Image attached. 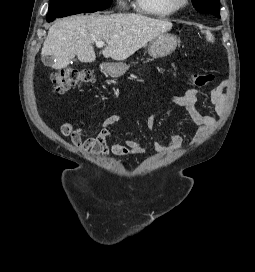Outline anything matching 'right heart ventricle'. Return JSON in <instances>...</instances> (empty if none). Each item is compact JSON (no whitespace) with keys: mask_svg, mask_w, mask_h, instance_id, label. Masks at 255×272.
<instances>
[{"mask_svg":"<svg viewBox=\"0 0 255 272\" xmlns=\"http://www.w3.org/2000/svg\"><path fill=\"white\" fill-rule=\"evenodd\" d=\"M135 9L145 15L167 17L175 12L165 0H134Z\"/></svg>","mask_w":255,"mask_h":272,"instance_id":"e07e8e85","label":"right heart ventricle"}]
</instances>
